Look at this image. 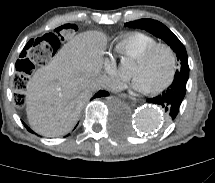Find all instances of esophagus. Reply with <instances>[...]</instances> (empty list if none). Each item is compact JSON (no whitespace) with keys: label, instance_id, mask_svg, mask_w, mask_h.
Instances as JSON below:
<instances>
[{"label":"esophagus","instance_id":"1","mask_svg":"<svg viewBox=\"0 0 215 183\" xmlns=\"http://www.w3.org/2000/svg\"><path fill=\"white\" fill-rule=\"evenodd\" d=\"M119 97H121V98H127V99H130V98H132L129 94H127V93H120L119 94Z\"/></svg>","mask_w":215,"mask_h":183}]
</instances>
